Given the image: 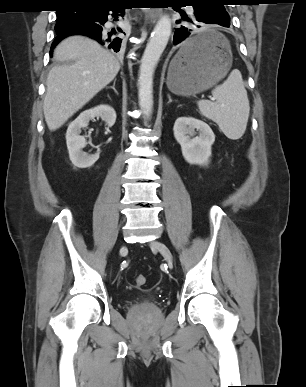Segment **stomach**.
I'll return each mask as SVG.
<instances>
[{
	"mask_svg": "<svg viewBox=\"0 0 306 387\" xmlns=\"http://www.w3.org/2000/svg\"><path fill=\"white\" fill-rule=\"evenodd\" d=\"M212 35L213 43L208 53L191 60L182 57L181 50L172 59L167 86L177 95L191 96L203 92L218 83L232 64V53L227 39L213 31L198 33L192 40Z\"/></svg>",
	"mask_w": 306,
	"mask_h": 387,
	"instance_id": "1",
	"label": "stomach"
}]
</instances>
